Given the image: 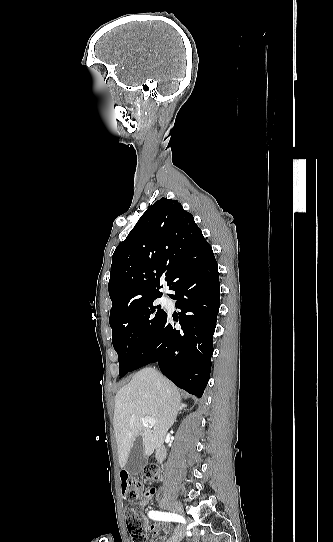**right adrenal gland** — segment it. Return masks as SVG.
Instances as JSON below:
<instances>
[{
  "label": "right adrenal gland",
  "mask_w": 333,
  "mask_h": 542,
  "mask_svg": "<svg viewBox=\"0 0 333 542\" xmlns=\"http://www.w3.org/2000/svg\"><path fill=\"white\" fill-rule=\"evenodd\" d=\"M181 408H187L186 404H181Z\"/></svg>",
  "instance_id": "2a0ac1e0"
}]
</instances>
